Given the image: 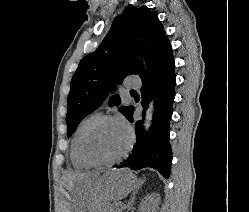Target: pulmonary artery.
<instances>
[{"label":"pulmonary artery","instance_id":"1","mask_svg":"<svg viewBox=\"0 0 249 212\" xmlns=\"http://www.w3.org/2000/svg\"><path fill=\"white\" fill-rule=\"evenodd\" d=\"M125 87L126 88H137L136 86H134L133 84L128 83V82H125Z\"/></svg>","mask_w":249,"mask_h":212}]
</instances>
